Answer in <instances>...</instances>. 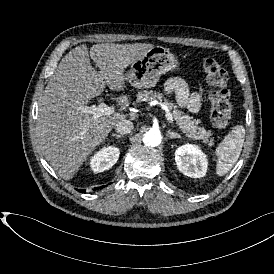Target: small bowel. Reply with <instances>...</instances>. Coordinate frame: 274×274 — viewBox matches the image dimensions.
<instances>
[{"label":"small bowel","mask_w":274,"mask_h":274,"mask_svg":"<svg viewBox=\"0 0 274 274\" xmlns=\"http://www.w3.org/2000/svg\"><path fill=\"white\" fill-rule=\"evenodd\" d=\"M165 91L173 95L178 104L190 112H197L200 108L201 99L198 93L191 92L186 82L179 77L170 78L165 83Z\"/></svg>","instance_id":"c3829d8e"}]
</instances>
